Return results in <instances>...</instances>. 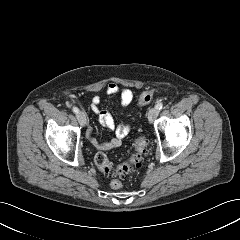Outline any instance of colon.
Segmentation results:
<instances>
[{
    "instance_id": "colon-1",
    "label": "colon",
    "mask_w": 240,
    "mask_h": 240,
    "mask_svg": "<svg viewBox=\"0 0 240 240\" xmlns=\"http://www.w3.org/2000/svg\"><path fill=\"white\" fill-rule=\"evenodd\" d=\"M154 92L147 90L141 93L139 103L142 105L148 104L153 99ZM147 142L142 136L137 137L134 142L133 150L128 154L126 160L118 165L113 166L103 153H98L95 156V164L106 175L112 176L110 186L113 189H120L123 186L122 180L133 171L135 167L141 165L146 151Z\"/></svg>"
}]
</instances>
